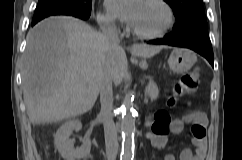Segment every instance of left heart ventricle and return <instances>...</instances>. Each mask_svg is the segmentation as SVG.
Instances as JSON below:
<instances>
[{"label": "left heart ventricle", "mask_w": 242, "mask_h": 160, "mask_svg": "<svg viewBox=\"0 0 242 160\" xmlns=\"http://www.w3.org/2000/svg\"><path fill=\"white\" fill-rule=\"evenodd\" d=\"M167 21V12L151 0H142L131 26L143 32L160 30Z\"/></svg>", "instance_id": "obj_1"}]
</instances>
